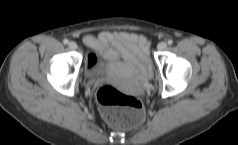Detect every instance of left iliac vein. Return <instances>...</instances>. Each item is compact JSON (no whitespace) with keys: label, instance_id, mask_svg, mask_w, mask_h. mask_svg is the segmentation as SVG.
Segmentation results:
<instances>
[{"label":"left iliac vein","instance_id":"4c4485c4","mask_svg":"<svg viewBox=\"0 0 238 145\" xmlns=\"http://www.w3.org/2000/svg\"><path fill=\"white\" fill-rule=\"evenodd\" d=\"M167 47V43L162 41L158 44V49L159 50H164Z\"/></svg>","mask_w":238,"mask_h":145}]
</instances>
